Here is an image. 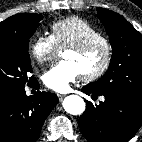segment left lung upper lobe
Returning a JSON list of instances; mask_svg holds the SVG:
<instances>
[{"label": "left lung upper lobe", "instance_id": "left-lung-upper-lobe-1", "mask_svg": "<svg viewBox=\"0 0 142 142\" xmlns=\"http://www.w3.org/2000/svg\"><path fill=\"white\" fill-rule=\"evenodd\" d=\"M113 49L108 71L98 81L88 84L92 90L128 92L142 96V36L122 16L97 8Z\"/></svg>", "mask_w": 142, "mask_h": 142}]
</instances>
